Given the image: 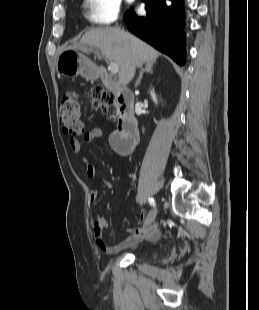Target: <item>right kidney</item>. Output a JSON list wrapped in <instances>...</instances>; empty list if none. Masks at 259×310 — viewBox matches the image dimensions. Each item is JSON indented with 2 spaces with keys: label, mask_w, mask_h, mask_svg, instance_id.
<instances>
[{
  "label": "right kidney",
  "mask_w": 259,
  "mask_h": 310,
  "mask_svg": "<svg viewBox=\"0 0 259 310\" xmlns=\"http://www.w3.org/2000/svg\"><path fill=\"white\" fill-rule=\"evenodd\" d=\"M151 97H152L153 101L155 103H157V98H156V95H155L154 91H151Z\"/></svg>",
  "instance_id": "ca27d5eb"
}]
</instances>
